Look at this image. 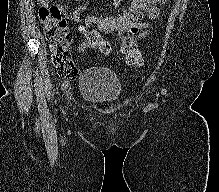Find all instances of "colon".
<instances>
[{
  "label": "colon",
  "instance_id": "1",
  "mask_svg": "<svg viewBox=\"0 0 219 192\" xmlns=\"http://www.w3.org/2000/svg\"><path fill=\"white\" fill-rule=\"evenodd\" d=\"M40 3L38 17L44 35L50 43L53 65L62 79L73 80L78 74V69L69 51L71 34L59 9L51 4L50 0H40ZM95 44V50L102 54H108L111 51L110 44L104 39L96 40ZM121 51L129 65H139L143 62V55L131 35L123 38Z\"/></svg>",
  "mask_w": 219,
  "mask_h": 192
}]
</instances>
